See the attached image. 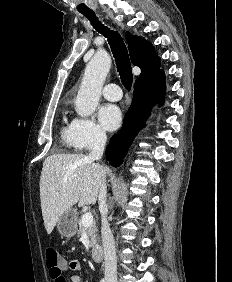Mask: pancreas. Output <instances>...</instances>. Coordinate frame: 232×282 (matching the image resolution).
<instances>
[{
  "mask_svg": "<svg viewBox=\"0 0 232 282\" xmlns=\"http://www.w3.org/2000/svg\"><path fill=\"white\" fill-rule=\"evenodd\" d=\"M77 224H78V228H77L78 235H81L86 230V233L90 238V247H95L98 240V235H97L98 229L96 223L93 222L89 227L85 228L80 219L79 221H77Z\"/></svg>",
  "mask_w": 232,
  "mask_h": 282,
  "instance_id": "1",
  "label": "pancreas"
}]
</instances>
